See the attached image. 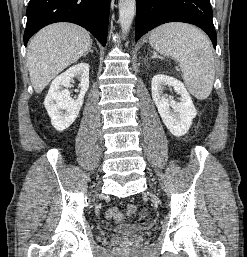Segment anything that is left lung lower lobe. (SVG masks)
I'll return each instance as SVG.
<instances>
[{"label": "left lung lower lobe", "instance_id": "obj_1", "mask_svg": "<svg viewBox=\"0 0 247 257\" xmlns=\"http://www.w3.org/2000/svg\"><path fill=\"white\" fill-rule=\"evenodd\" d=\"M212 17L209 0H137L135 40L161 24L185 22L205 31L216 48Z\"/></svg>", "mask_w": 247, "mask_h": 257}]
</instances>
